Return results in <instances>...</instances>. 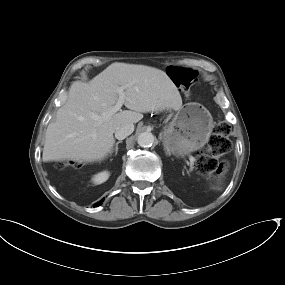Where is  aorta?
<instances>
[{
	"instance_id": "762f6f07",
	"label": "aorta",
	"mask_w": 285,
	"mask_h": 285,
	"mask_svg": "<svg viewBox=\"0 0 285 285\" xmlns=\"http://www.w3.org/2000/svg\"><path fill=\"white\" fill-rule=\"evenodd\" d=\"M139 146L144 148L151 147L155 142V137L151 132H143L137 138Z\"/></svg>"
}]
</instances>
